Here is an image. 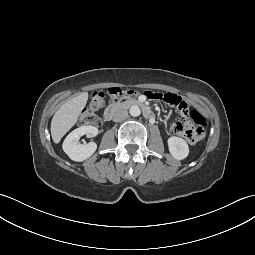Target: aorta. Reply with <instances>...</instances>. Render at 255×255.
<instances>
[{"mask_svg":"<svg viewBox=\"0 0 255 255\" xmlns=\"http://www.w3.org/2000/svg\"><path fill=\"white\" fill-rule=\"evenodd\" d=\"M129 112H130V115L133 117H137L141 113L140 108L137 105L131 106Z\"/></svg>","mask_w":255,"mask_h":255,"instance_id":"1","label":"aorta"}]
</instances>
